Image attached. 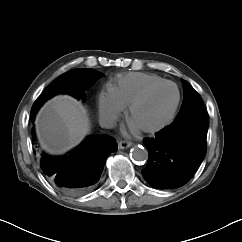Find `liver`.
Listing matches in <instances>:
<instances>
[{
  "label": "liver",
  "mask_w": 242,
  "mask_h": 242,
  "mask_svg": "<svg viewBox=\"0 0 242 242\" xmlns=\"http://www.w3.org/2000/svg\"><path fill=\"white\" fill-rule=\"evenodd\" d=\"M36 130L45 148L52 152H65L83 140L89 130V120L80 102L59 95L40 110Z\"/></svg>",
  "instance_id": "1"
}]
</instances>
